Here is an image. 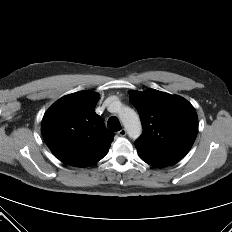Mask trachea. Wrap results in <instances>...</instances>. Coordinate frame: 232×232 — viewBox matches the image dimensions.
<instances>
[{
	"label": "trachea",
	"mask_w": 232,
	"mask_h": 232,
	"mask_svg": "<svg viewBox=\"0 0 232 232\" xmlns=\"http://www.w3.org/2000/svg\"><path fill=\"white\" fill-rule=\"evenodd\" d=\"M107 126H108L109 130L114 131V132L121 130V124H120L118 118L115 116H112L109 118V120L107 122Z\"/></svg>",
	"instance_id": "3493384b"
}]
</instances>
